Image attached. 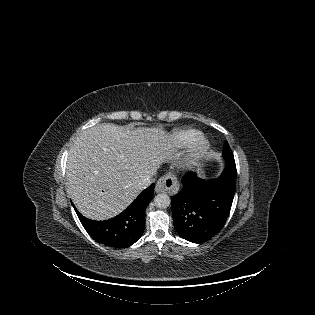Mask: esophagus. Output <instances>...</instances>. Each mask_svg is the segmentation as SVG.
<instances>
[{"label":"esophagus","mask_w":315,"mask_h":315,"mask_svg":"<svg viewBox=\"0 0 315 315\" xmlns=\"http://www.w3.org/2000/svg\"><path fill=\"white\" fill-rule=\"evenodd\" d=\"M179 190V183L176 177L169 173L162 176L156 183L155 191L157 193L160 192H168V193H177Z\"/></svg>","instance_id":"1"}]
</instances>
